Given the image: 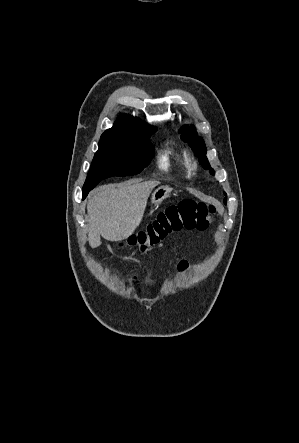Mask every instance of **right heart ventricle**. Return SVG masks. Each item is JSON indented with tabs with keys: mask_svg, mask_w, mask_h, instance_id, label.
Wrapping results in <instances>:
<instances>
[{
	"mask_svg": "<svg viewBox=\"0 0 299 443\" xmlns=\"http://www.w3.org/2000/svg\"><path fill=\"white\" fill-rule=\"evenodd\" d=\"M186 155L179 150L165 146L158 157V167L164 172H170L174 168H185Z\"/></svg>",
	"mask_w": 299,
	"mask_h": 443,
	"instance_id": "1",
	"label": "right heart ventricle"
}]
</instances>
